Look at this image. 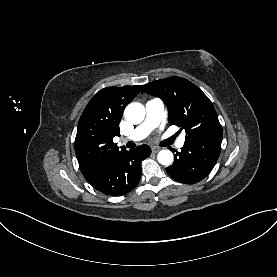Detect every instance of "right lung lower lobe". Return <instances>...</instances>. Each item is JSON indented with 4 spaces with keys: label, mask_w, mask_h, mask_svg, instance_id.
Returning <instances> with one entry per match:
<instances>
[{
    "label": "right lung lower lobe",
    "mask_w": 277,
    "mask_h": 277,
    "mask_svg": "<svg viewBox=\"0 0 277 277\" xmlns=\"http://www.w3.org/2000/svg\"><path fill=\"white\" fill-rule=\"evenodd\" d=\"M147 145L125 150L114 157L99 173L87 180L96 190L110 196L130 192L140 181L141 162L149 157Z\"/></svg>",
    "instance_id": "obj_1"
}]
</instances>
